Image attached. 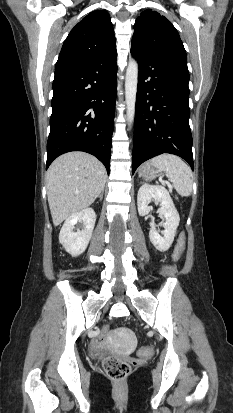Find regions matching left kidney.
<instances>
[{"label": "left kidney", "mask_w": 233, "mask_h": 413, "mask_svg": "<svg viewBox=\"0 0 233 413\" xmlns=\"http://www.w3.org/2000/svg\"><path fill=\"white\" fill-rule=\"evenodd\" d=\"M151 201L160 202L159 214L164 218V230L161 236L155 228L153 222L150 223L149 238L154 247L160 252L167 251L173 243L176 229L179 225L180 217L169 195V192L162 186L144 184L137 194V206L140 216L150 213L152 207L148 206Z\"/></svg>", "instance_id": "1"}]
</instances>
